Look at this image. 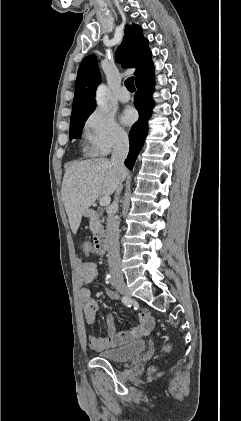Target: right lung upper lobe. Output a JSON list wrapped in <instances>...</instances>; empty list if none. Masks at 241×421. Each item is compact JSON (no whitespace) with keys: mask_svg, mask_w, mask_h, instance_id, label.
Here are the masks:
<instances>
[{"mask_svg":"<svg viewBox=\"0 0 241 421\" xmlns=\"http://www.w3.org/2000/svg\"><path fill=\"white\" fill-rule=\"evenodd\" d=\"M117 62L124 68H136L135 79L151 63L148 40L136 24L127 25L125 37L116 52ZM100 83V72L95 55L86 57L80 64L75 82V95L71 119L90 115L95 107V92Z\"/></svg>","mask_w":241,"mask_h":421,"instance_id":"right-lung-upper-lobe-1","label":"right lung upper lobe"}]
</instances>
